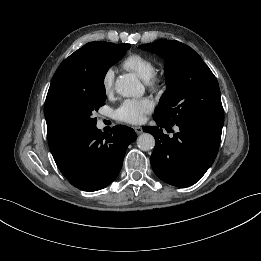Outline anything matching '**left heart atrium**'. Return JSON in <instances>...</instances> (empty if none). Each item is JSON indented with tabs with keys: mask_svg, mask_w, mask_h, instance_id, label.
Wrapping results in <instances>:
<instances>
[{
	"mask_svg": "<svg viewBox=\"0 0 261 261\" xmlns=\"http://www.w3.org/2000/svg\"><path fill=\"white\" fill-rule=\"evenodd\" d=\"M154 108L148 98L127 99L114 112L115 118L129 124L141 123Z\"/></svg>",
	"mask_w": 261,
	"mask_h": 261,
	"instance_id": "obj_1",
	"label": "left heart atrium"
}]
</instances>
